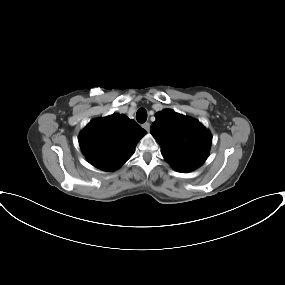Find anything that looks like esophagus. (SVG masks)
Wrapping results in <instances>:
<instances>
[{"instance_id": "34e87169", "label": "esophagus", "mask_w": 285, "mask_h": 285, "mask_svg": "<svg viewBox=\"0 0 285 285\" xmlns=\"http://www.w3.org/2000/svg\"><path fill=\"white\" fill-rule=\"evenodd\" d=\"M143 128H144L147 132H149V130H150V123H149V122L144 123V124H143Z\"/></svg>"}]
</instances>
